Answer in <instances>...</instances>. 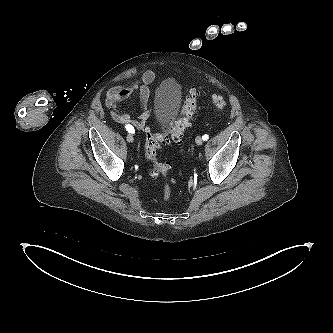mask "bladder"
I'll return each instance as SVG.
<instances>
[{"label":"bladder","instance_id":"obj_1","mask_svg":"<svg viewBox=\"0 0 333 333\" xmlns=\"http://www.w3.org/2000/svg\"><path fill=\"white\" fill-rule=\"evenodd\" d=\"M182 98L180 84L172 79L163 80L157 87L154 98V115L158 122L164 123L177 112Z\"/></svg>","mask_w":333,"mask_h":333}]
</instances>
